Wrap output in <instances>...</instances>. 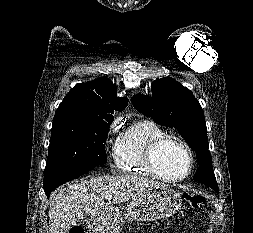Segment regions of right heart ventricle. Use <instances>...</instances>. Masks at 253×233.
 Instances as JSON below:
<instances>
[{
    "label": "right heart ventricle",
    "mask_w": 253,
    "mask_h": 233,
    "mask_svg": "<svg viewBox=\"0 0 253 233\" xmlns=\"http://www.w3.org/2000/svg\"><path fill=\"white\" fill-rule=\"evenodd\" d=\"M166 132L153 120H139L125 129L117 138L113 149L116 168L122 172L154 176L145 163L149 144Z\"/></svg>",
    "instance_id": "1"
}]
</instances>
